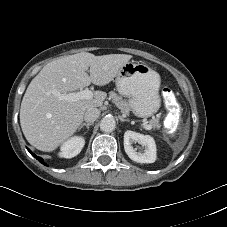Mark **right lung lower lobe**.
Wrapping results in <instances>:
<instances>
[{
    "label": "right lung lower lobe",
    "instance_id": "1",
    "mask_svg": "<svg viewBox=\"0 0 227 227\" xmlns=\"http://www.w3.org/2000/svg\"><path fill=\"white\" fill-rule=\"evenodd\" d=\"M28 151L31 153V155H32L33 157H35L36 159H38V160H39V162H41L42 164L46 165V164L44 163V161H43V159H42V158H40V157L36 156V155H35L34 153H32L29 149H28Z\"/></svg>",
    "mask_w": 227,
    "mask_h": 227
}]
</instances>
